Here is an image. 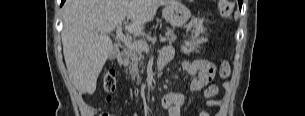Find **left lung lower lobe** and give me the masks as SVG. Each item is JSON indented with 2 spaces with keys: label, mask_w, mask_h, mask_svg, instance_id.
<instances>
[{
  "label": "left lung lower lobe",
  "mask_w": 305,
  "mask_h": 116,
  "mask_svg": "<svg viewBox=\"0 0 305 116\" xmlns=\"http://www.w3.org/2000/svg\"><path fill=\"white\" fill-rule=\"evenodd\" d=\"M242 5V0H239V6H241Z\"/></svg>",
  "instance_id": "obj_1"
}]
</instances>
